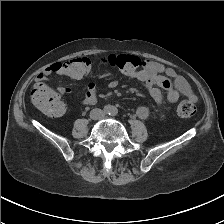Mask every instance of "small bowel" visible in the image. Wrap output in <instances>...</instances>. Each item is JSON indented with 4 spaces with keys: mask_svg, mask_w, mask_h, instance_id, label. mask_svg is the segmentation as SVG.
<instances>
[{
    "mask_svg": "<svg viewBox=\"0 0 224 224\" xmlns=\"http://www.w3.org/2000/svg\"><path fill=\"white\" fill-rule=\"evenodd\" d=\"M58 74L63 75L62 62H54L47 65L36 77V85H46L50 75ZM130 79L135 80L142 84L149 95L158 106L161 116H164L163 109V93L166 91L167 99L170 102H177L181 96L187 97L192 102L197 100L196 95L193 93L189 83L186 79L179 75L173 68L167 67L162 63L156 61H145L143 66L136 72L128 75ZM120 81L118 78L111 80L107 84L108 89L118 87ZM70 88L66 86H59L58 92L61 95L70 93ZM97 101V88L94 83H90L83 99L80 104L89 106L95 104ZM137 116L146 120L150 111L145 106H139L136 110Z\"/></svg>",
    "mask_w": 224,
    "mask_h": 224,
    "instance_id": "c3829d8e",
    "label": "small bowel"
}]
</instances>
